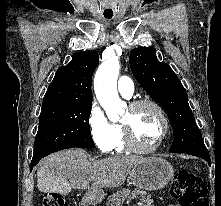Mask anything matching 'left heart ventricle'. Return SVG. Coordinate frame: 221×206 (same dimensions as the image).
Instances as JSON below:
<instances>
[{
    "mask_svg": "<svg viewBox=\"0 0 221 206\" xmlns=\"http://www.w3.org/2000/svg\"><path fill=\"white\" fill-rule=\"evenodd\" d=\"M122 123L128 125L136 143L140 147H150L156 143L162 131V121L157 111L148 105L136 110L127 109Z\"/></svg>",
    "mask_w": 221,
    "mask_h": 206,
    "instance_id": "obj_1",
    "label": "left heart ventricle"
}]
</instances>
